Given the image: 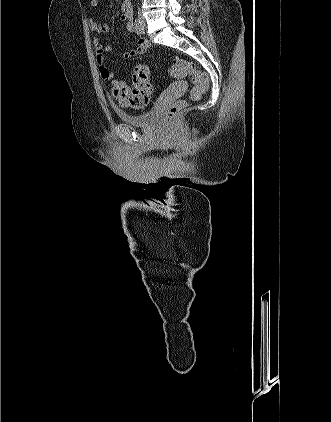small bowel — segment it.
I'll return each instance as SVG.
<instances>
[{
	"label": "small bowel",
	"mask_w": 331,
	"mask_h": 422,
	"mask_svg": "<svg viewBox=\"0 0 331 422\" xmlns=\"http://www.w3.org/2000/svg\"><path fill=\"white\" fill-rule=\"evenodd\" d=\"M90 5L92 7H97L98 0H90ZM120 20L125 23L127 32L135 33V23L133 22V10L130 2L124 0L121 6V15ZM89 28L92 32L97 35L107 34L109 32V26L105 21V16H103L99 21L91 19L89 21ZM93 47L95 49V57L98 64V69L100 76L105 81H110L114 77L112 69L109 67L106 54L112 51L111 45H103L99 37H95L92 41ZM148 42L144 38H137L135 41V47L126 51L122 54V60H128L135 58L140 54H144L147 50ZM121 104L128 105L122 100H119Z\"/></svg>",
	"instance_id": "obj_1"
}]
</instances>
